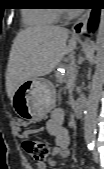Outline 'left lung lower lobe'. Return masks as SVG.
Returning <instances> with one entry per match:
<instances>
[{
  "label": "left lung lower lobe",
  "instance_id": "0a47b994",
  "mask_svg": "<svg viewBox=\"0 0 104 169\" xmlns=\"http://www.w3.org/2000/svg\"><path fill=\"white\" fill-rule=\"evenodd\" d=\"M100 9H93L88 23V29L94 31L99 21Z\"/></svg>",
  "mask_w": 104,
  "mask_h": 169
}]
</instances>
